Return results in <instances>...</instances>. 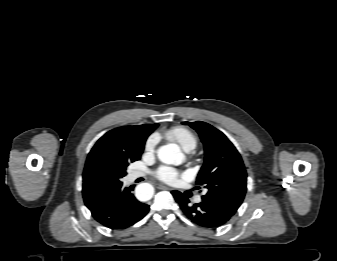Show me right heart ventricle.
<instances>
[{
    "label": "right heart ventricle",
    "instance_id": "right-heart-ventricle-1",
    "mask_svg": "<svg viewBox=\"0 0 337 261\" xmlns=\"http://www.w3.org/2000/svg\"><path fill=\"white\" fill-rule=\"evenodd\" d=\"M165 136L178 143L184 150L191 151L197 146V138L189 129L174 126L165 132Z\"/></svg>",
    "mask_w": 337,
    "mask_h": 261
}]
</instances>
